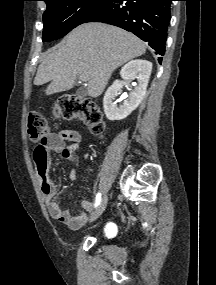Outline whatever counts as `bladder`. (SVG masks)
I'll list each match as a JSON object with an SVG mask.
<instances>
[{
	"mask_svg": "<svg viewBox=\"0 0 216 285\" xmlns=\"http://www.w3.org/2000/svg\"><path fill=\"white\" fill-rule=\"evenodd\" d=\"M104 232H105L106 235H109V234L112 232L111 227H110V226H107V227L105 228Z\"/></svg>",
	"mask_w": 216,
	"mask_h": 285,
	"instance_id": "bladder-1",
	"label": "bladder"
}]
</instances>
